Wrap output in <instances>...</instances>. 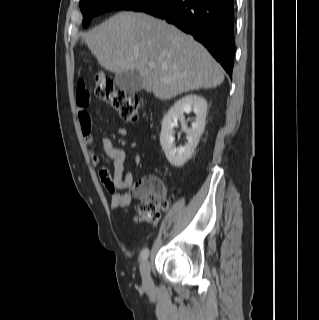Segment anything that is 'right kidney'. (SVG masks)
<instances>
[{"label":"right kidney","instance_id":"1","mask_svg":"<svg viewBox=\"0 0 319 320\" xmlns=\"http://www.w3.org/2000/svg\"><path fill=\"white\" fill-rule=\"evenodd\" d=\"M193 111L196 115L195 122L189 129L185 123L184 113ZM207 113L206 100L198 95H187L179 99L167 112L162 120L160 144L169 163L175 167L183 166L192 156L199 143L200 136L204 132ZM181 122L182 130L187 134L188 143L176 149L174 146V127Z\"/></svg>","mask_w":319,"mask_h":320}]
</instances>
